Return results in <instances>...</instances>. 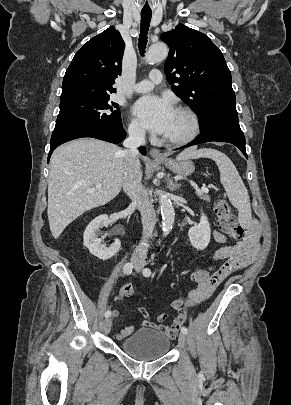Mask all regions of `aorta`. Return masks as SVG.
<instances>
[{
    "mask_svg": "<svg viewBox=\"0 0 291 405\" xmlns=\"http://www.w3.org/2000/svg\"><path fill=\"white\" fill-rule=\"evenodd\" d=\"M168 52L169 50L165 43H155L150 46L145 56V61L148 64L161 62L166 59V57L168 56ZM159 203L163 220L162 230L163 234L167 235L173 227L175 212L171 200L165 194H161L159 196Z\"/></svg>",
    "mask_w": 291,
    "mask_h": 405,
    "instance_id": "aorta-1",
    "label": "aorta"
}]
</instances>
